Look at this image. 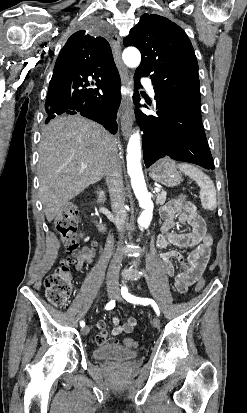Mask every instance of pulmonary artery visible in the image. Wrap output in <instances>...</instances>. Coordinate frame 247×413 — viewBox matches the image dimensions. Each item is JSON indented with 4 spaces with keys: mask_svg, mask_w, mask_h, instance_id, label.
Instances as JSON below:
<instances>
[{
    "mask_svg": "<svg viewBox=\"0 0 247 413\" xmlns=\"http://www.w3.org/2000/svg\"><path fill=\"white\" fill-rule=\"evenodd\" d=\"M140 80H144V85H140V86H147L148 91L150 92V94L154 97L155 96V88L154 85L152 83V81L148 78V79H140Z\"/></svg>",
    "mask_w": 247,
    "mask_h": 413,
    "instance_id": "obj_1",
    "label": "pulmonary artery"
}]
</instances>
